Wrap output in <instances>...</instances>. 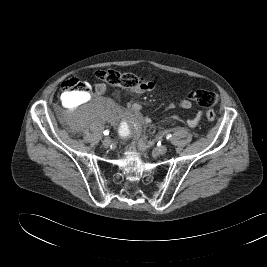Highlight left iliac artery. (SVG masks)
<instances>
[{"mask_svg": "<svg viewBox=\"0 0 267 267\" xmlns=\"http://www.w3.org/2000/svg\"><path fill=\"white\" fill-rule=\"evenodd\" d=\"M171 137H172V135L171 134H167V136H166V139H171Z\"/></svg>", "mask_w": 267, "mask_h": 267, "instance_id": "obj_1", "label": "left iliac artery"}]
</instances>
